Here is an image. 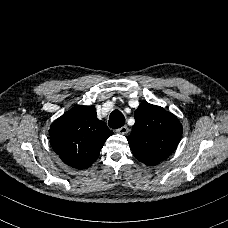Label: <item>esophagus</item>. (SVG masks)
<instances>
[{
	"instance_id": "1",
	"label": "esophagus",
	"mask_w": 228,
	"mask_h": 228,
	"mask_svg": "<svg viewBox=\"0 0 228 228\" xmlns=\"http://www.w3.org/2000/svg\"><path fill=\"white\" fill-rule=\"evenodd\" d=\"M116 132L118 134L125 135V134H127L129 132V129H128V127L126 125H124V126L120 127L119 129H117Z\"/></svg>"
}]
</instances>
